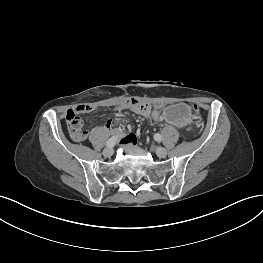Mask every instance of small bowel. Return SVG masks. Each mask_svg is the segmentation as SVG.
I'll return each mask as SVG.
<instances>
[{
	"mask_svg": "<svg viewBox=\"0 0 263 263\" xmlns=\"http://www.w3.org/2000/svg\"><path fill=\"white\" fill-rule=\"evenodd\" d=\"M121 108H128L135 114H138L143 117H152L153 119L160 121L158 117V112L160 110L159 108L153 109L150 105L143 104L137 100L134 99L128 100L125 104L116 107V110H120ZM95 109L96 107L93 105H81L75 109V112H77L78 114H84V113L92 112ZM105 127L111 130V120H107ZM136 141H137V137L134 134H131L126 139H124V142L126 143L127 142L136 143Z\"/></svg>",
	"mask_w": 263,
	"mask_h": 263,
	"instance_id": "c3829d8e",
	"label": "small bowel"
}]
</instances>
